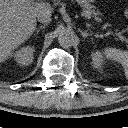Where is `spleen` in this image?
Wrapping results in <instances>:
<instances>
[{
	"instance_id": "3e777b00",
	"label": "spleen",
	"mask_w": 128,
	"mask_h": 128,
	"mask_svg": "<svg viewBox=\"0 0 128 128\" xmlns=\"http://www.w3.org/2000/svg\"><path fill=\"white\" fill-rule=\"evenodd\" d=\"M103 54L107 59L122 64V66L124 67L125 76L128 80V51L108 47L104 49Z\"/></svg>"
}]
</instances>
